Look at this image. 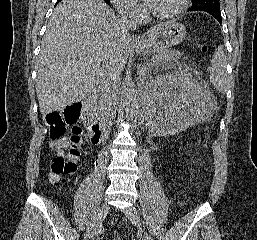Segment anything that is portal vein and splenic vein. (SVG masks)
<instances>
[{
    "instance_id": "portal-vein-and-splenic-vein-1",
    "label": "portal vein and splenic vein",
    "mask_w": 257,
    "mask_h": 240,
    "mask_svg": "<svg viewBox=\"0 0 257 240\" xmlns=\"http://www.w3.org/2000/svg\"><path fill=\"white\" fill-rule=\"evenodd\" d=\"M140 72H141V74H143V71H142V70H140Z\"/></svg>"
}]
</instances>
